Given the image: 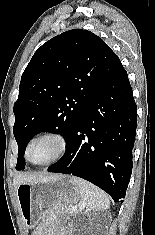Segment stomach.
I'll return each mask as SVG.
<instances>
[{"label":"stomach","mask_w":155,"mask_h":235,"mask_svg":"<svg viewBox=\"0 0 155 235\" xmlns=\"http://www.w3.org/2000/svg\"><path fill=\"white\" fill-rule=\"evenodd\" d=\"M16 194L22 219L28 229L38 225L43 208L75 204L81 198L79 188L70 176L20 184Z\"/></svg>","instance_id":"stomach-1"}]
</instances>
